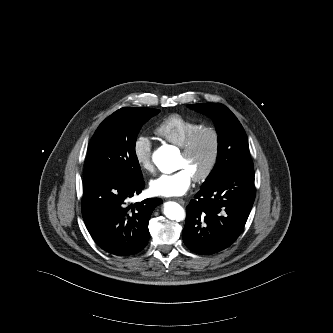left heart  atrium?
Segmentation results:
<instances>
[{"mask_svg": "<svg viewBox=\"0 0 333 333\" xmlns=\"http://www.w3.org/2000/svg\"><path fill=\"white\" fill-rule=\"evenodd\" d=\"M193 176L185 169L163 174L150 182V191L157 196L178 197L184 195L190 188Z\"/></svg>", "mask_w": 333, "mask_h": 333, "instance_id": "obj_1", "label": "left heart atrium"}]
</instances>
